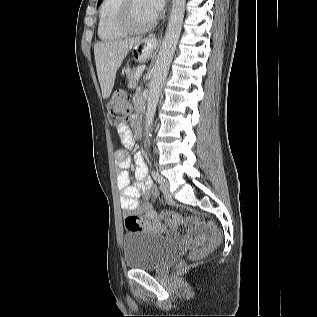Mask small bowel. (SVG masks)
Returning a JSON list of instances; mask_svg holds the SVG:
<instances>
[{
	"mask_svg": "<svg viewBox=\"0 0 317 317\" xmlns=\"http://www.w3.org/2000/svg\"><path fill=\"white\" fill-rule=\"evenodd\" d=\"M136 105L138 102L136 101ZM117 132L120 140L124 146V149H119L115 152V163L119 168V173L117 175V186L121 193L120 195V205L124 212L131 213L135 212L141 214L150 222H157V213L148 199L140 201L139 198L141 194H148L151 199L157 197V190L152 185V182L147 174V169L141 154H136L134 157L135 162V177L136 182L131 184L129 167L131 164L130 156L127 150L133 148L135 144L134 136L129 129V127L123 123L117 127ZM171 236H175V231L171 230L169 232ZM188 237L190 239H196L198 233L196 230H192Z\"/></svg>",
	"mask_w": 317,
	"mask_h": 317,
	"instance_id": "small-bowel-1",
	"label": "small bowel"
}]
</instances>
